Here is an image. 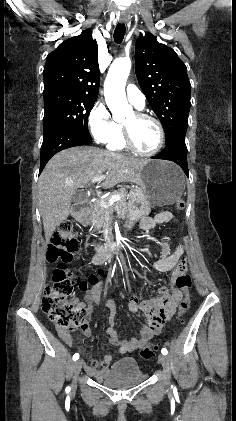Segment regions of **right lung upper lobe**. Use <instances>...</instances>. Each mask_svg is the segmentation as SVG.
I'll use <instances>...</instances> for the list:
<instances>
[{"label":"right lung upper lobe","instance_id":"right-lung-upper-lobe-1","mask_svg":"<svg viewBox=\"0 0 236 421\" xmlns=\"http://www.w3.org/2000/svg\"><path fill=\"white\" fill-rule=\"evenodd\" d=\"M44 91L64 90L96 97L100 75L97 42L90 29L62 42L46 59Z\"/></svg>","mask_w":236,"mask_h":421}]
</instances>
